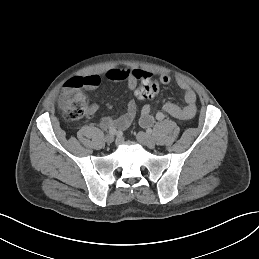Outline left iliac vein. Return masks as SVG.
I'll return each mask as SVG.
<instances>
[{"mask_svg": "<svg viewBox=\"0 0 259 259\" xmlns=\"http://www.w3.org/2000/svg\"><path fill=\"white\" fill-rule=\"evenodd\" d=\"M137 140L147 147H153L155 145L154 136L145 132H139L137 134Z\"/></svg>", "mask_w": 259, "mask_h": 259, "instance_id": "4c4485c4", "label": "left iliac vein"}]
</instances>
